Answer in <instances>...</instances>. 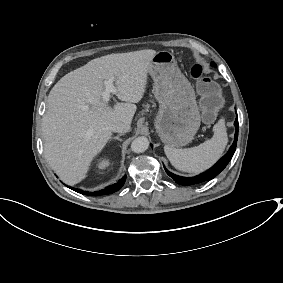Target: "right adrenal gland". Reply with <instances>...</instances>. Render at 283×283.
<instances>
[{"label":"right adrenal gland","mask_w":283,"mask_h":283,"mask_svg":"<svg viewBox=\"0 0 283 283\" xmlns=\"http://www.w3.org/2000/svg\"><path fill=\"white\" fill-rule=\"evenodd\" d=\"M121 135H123V133L118 134L116 137L113 138V140L122 142V140L119 139V137H120Z\"/></svg>","instance_id":"2a0ac1e0"}]
</instances>
